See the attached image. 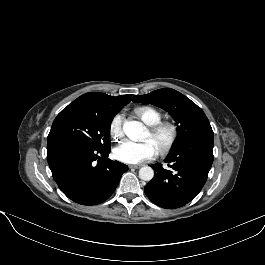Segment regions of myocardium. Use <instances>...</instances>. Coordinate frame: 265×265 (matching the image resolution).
I'll return each instance as SVG.
<instances>
[{
	"mask_svg": "<svg viewBox=\"0 0 265 265\" xmlns=\"http://www.w3.org/2000/svg\"><path fill=\"white\" fill-rule=\"evenodd\" d=\"M149 134L152 140L159 139L163 134L166 135L165 140L161 142L157 151L160 154L167 153L176 143L179 135L178 127L171 121H160L149 126Z\"/></svg>",
	"mask_w": 265,
	"mask_h": 265,
	"instance_id": "myocardium-1",
	"label": "myocardium"
}]
</instances>
